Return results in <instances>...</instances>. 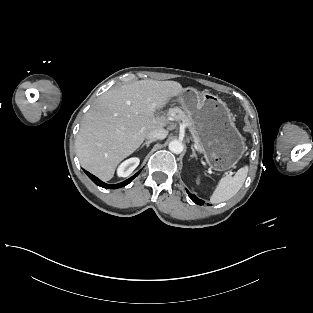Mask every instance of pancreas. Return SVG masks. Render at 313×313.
<instances>
[{
    "instance_id": "1",
    "label": "pancreas",
    "mask_w": 313,
    "mask_h": 313,
    "mask_svg": "<svg viewBox=\"0 0 313 313\" xmlns=\"http://www.w3.org/2000/svg\"><path fill=\"white\" fill-rule=\"evenodd\" d=\"M173 117L177 121H182V123L185 124L189 128V131L191 132V135H192L194 142L198 146L199 150L202 151V149L199 145V138H198L196 131L193 127V122H192L191 118L188 115H186L184 111H182L180 109H178L176 111V113L173 115Z\"/></svg>"
}]
</instances>
